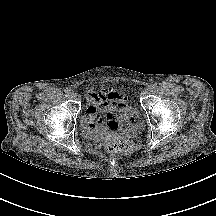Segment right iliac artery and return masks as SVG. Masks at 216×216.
Segmentation results:
<instances>
[{"instance_id": "1", "label": "right iliac artery", "mask_w": 216, "mask_h": 216, "mask_svg": "<svg viewBox=\"0 0 216 216\" xmlns=\"http://www.w3.org/2000/svg\"><path fill=\"white\" fill-rule=\"evenodd\" d=\"M70 89L69 88H66L65 90H64V92L66 93V94H69L70 93Z\"/></svg>"}]
</instances>
